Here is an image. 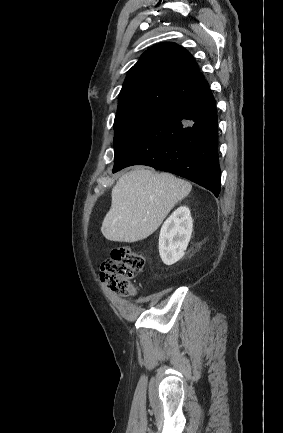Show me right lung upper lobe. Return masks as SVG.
I'll use <instances>...</instances> for the list:
<instances>
[{
    "instance_id": "obj_1",
    "label": "right lung upper lobe",
    "mask_w": 283,
    "mask_h": 433,
    "mask_svg": "<svg viewBox=\"0 0 283 433\" xmlns=\"http://www.w3.org/2000/svg\"><path fill=\"white\" fill-rule=\"evenodd\" d=\"M209 87L192 55L170 42L149 48L129 70L118 109L150 108L163 112Z\"/></svg>"
}]
</instances>
